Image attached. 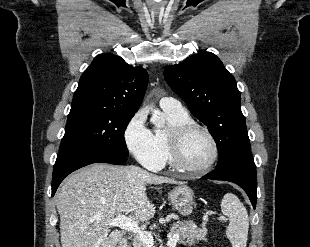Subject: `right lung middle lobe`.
I'll return each mask as SVG.
<instances>
[{
    "label": "right lung middle lobe",
    "instance_id": "dd1d6c3e",
    "mask_svg": "<svg viewBox=\"0 0 310 247\" xmlns=\"http://www.w3.org/2000/svg\"><path fill=\"white\" fill-rule=\"evenodd\" d=\"M133 116L113 110H71L59 152L83 148L128 156L124 131Z\"/></svg>",
    "mask_w": 310,
    "mask_h": 247
}]
</instances>
